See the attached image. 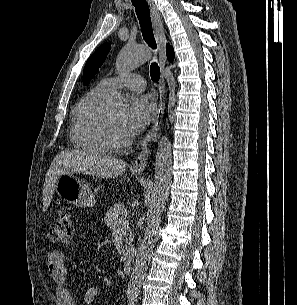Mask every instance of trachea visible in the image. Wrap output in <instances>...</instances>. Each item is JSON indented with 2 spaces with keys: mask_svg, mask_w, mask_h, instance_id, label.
<instances>
[{
  "mask_svg": "<svg viewBox=\"0 0 297 305\" xmlns=\"http://www.w3.org/2000/svg\"><path fill=\"white\" fill-rule=\"evenodd\" d=\"M131 2L135 7L136 15L139 19L143 39L151 48L155 49L156 42L152 30L150 10L146 0H131ZM150 76L154 82H158L160 78V68L155 62L150 66Z\"/></svg>",
  "mask_w": 297,
  "mask_h": 305,
  "instance_id": "obj_1",
  "label": "trachea"
}]
</instances>
